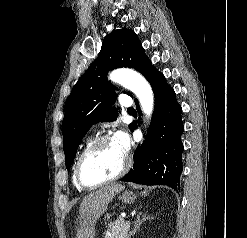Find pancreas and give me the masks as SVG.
I'll return each instance as SVG.
<instances>
[{"label": "pancreas", "mask_w": 247, "mask_h": 238, "mask_svg": "<svg viewBox=\"0 0 247 238\" xmlns=\"http://www.w3.org/2000/svg\"><path fill=\"white\" fill-rule=\"evenodd\" d=\"M130 224H127L123 218H118L112 227H110V235H106L105 238H126Z\"/></svg>", "instance_id": "pancreas-1"}]
</instances>
